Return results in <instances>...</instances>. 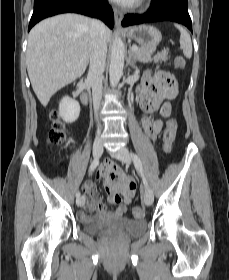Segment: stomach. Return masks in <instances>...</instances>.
<instances>
[{"instance_id":"obj_1","label":"stomach","mask_w":229,"mask_h":280,"mask_svg":"<svg viewBox=\"0 0 229 280\" xmlns=\"http://www.w3.org/2000/svg\"><path fill=\"white\" fill-rule=\"evenodd\" d=\"M127 36L142 48L155 50L162 40L161 32L151 25H139L128 29Z\"/></svg>"}]
</instances>
